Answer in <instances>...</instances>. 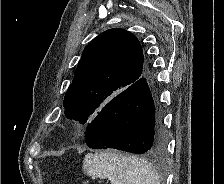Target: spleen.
<instances>
[{"label": "spleen", "instance_id": "obj_1", "mask_svg": "<svg viewBox=\"0 0 224 184\" xmlns=\"http://www.w3.org/2000/svg\"><path fill=\"white\" fill-rule=\"evenodd\" d=\"M83 171L111 184H160L158 172L147 161L116 151L85 155Z\"/></svg>", "mask_w": 224, "mask_h": 184}]
</instances>
